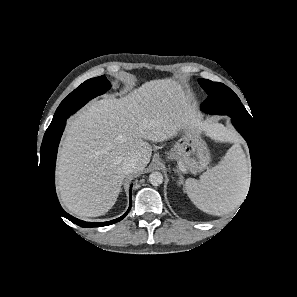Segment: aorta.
<instances>
[{
	"label": "aorta",
	"mask_w": 297,
	"mask_h": 297,
	"mask_svg": "<svg viewBox=\"0 0 297 297\" xmlns=\"http://www.w3.org/2000/svg\"><path fill=\"white\" fill-rule=\"evenodd\" d=\"M149 182L153 185V186H159L160 184H162L163 182V175L160 172H152L149 175Z\"/></svg>",
	"instance_id": "aorta-1"
}]
</instances>
